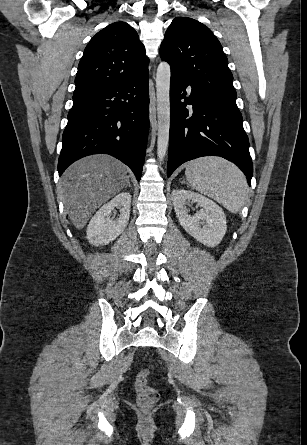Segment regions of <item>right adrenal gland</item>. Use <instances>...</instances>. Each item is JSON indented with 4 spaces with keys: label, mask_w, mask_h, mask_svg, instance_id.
Masks as SVG:
<instances>
[{
    "label": "right adrenal gland",
    "mask_w": 307,
    "mask_h": 445,
    "mask_svg": "<svg viewBox=\"0 0 307 445\" xmlns=\"http://www.w3.org/2000/svg\"><path fill=\"white\" fill-rule=\"evenodd\" d=\"M127 186H131V184H127ZM127 186H125V188H127Z\"/></svg>",
    "instance_id": "1"
}]
</instances>
